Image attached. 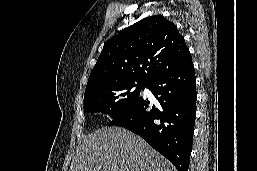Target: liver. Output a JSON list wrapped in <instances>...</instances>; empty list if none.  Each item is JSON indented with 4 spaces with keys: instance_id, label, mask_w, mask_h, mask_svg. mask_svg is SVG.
Wrapping results in <instances>:
<instances>
[{
    "instance_id": "6515ba94",
    "label": "liver",
    "mask_w": 257,
    "mask_h": 171,
    "mask_svg": "<svg viewBox=\"0 0 257 171\" xmlns=\"http://www.w3.org/2000/svg\"><path fill=\"white\" fill-rule=\"evenodd\" d=\"M69 171H171L169 163L148 143L120 127L89 134L76 151Z\"/></svg>"
}]
</instances>
